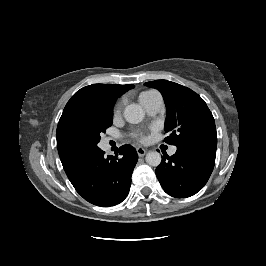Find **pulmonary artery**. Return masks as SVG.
<instances>
[{
    "mask_svg": "<svg viewBox=\"0 0 266 266\" xmlns=\"http://www.w3.org/2000/svg\"><path fill=\"white\" fill-rule=\"evenodd\" d=\"M148 115L154 116L160 112L163 107L162 96L155 92L149 96H146L143 100L140 101ZM177 148L175 146L170 147L169 154H175Z\"/></svg>",
    "mask_w": 266,
    "mask_h": 266,
    "instance_id": "pulmonary-artery-1",
    "label": "pulmonary artery"
}]
</instances>
